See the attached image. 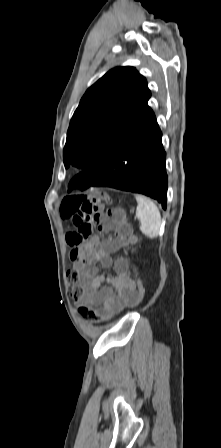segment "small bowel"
Segmentation results:
<instances>
[{"label": "small bowel", "mask_w": 221, "mask_h": 448, "mask_svg": "<svg viewBox=\"0 0 221 448\" xmlns=\"http://www.w3.org/2000/svg\"><path fill=\"white\" fill-rule=\"evenodd\" d=\"M101 219L107 224V214ZM114 236L104 240L97 237L82 240L76 230L65 234V242L71 248L70 259L73 267L83 280V293L78 303L94 311L98 320L109 319L137 300L135 282L131 277L127 261L120 257L112 259L111 254L137 242V237L119 225L113 229ZM97 249L96 258L86 262L84 257ZM102 268L113 267L115 276L97 274L94 265ZM106 284V287L103 285Z\"/></svg>", "instance_id": "small-bowel-1"}]
</instances>
